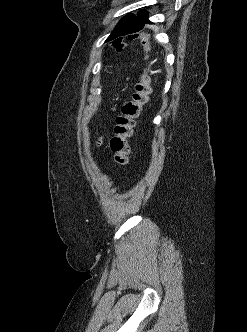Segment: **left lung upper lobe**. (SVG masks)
I'll use <instances>...</instances> for the list:
<instances>
[{
    "instance_id": "left-lung-upper-lobe-1",
    "label": "left lung upper lobe",
    "mask_w": 247,
    "mask_h": 332,
    "mask_svg": "<svg viewBox=\"0 0 247 332\" xmlns=\"http://www.w3.org/2000/svg\"><path fill=\"white\" fill-rule=\"evenodd\" d=\"M134 16V14H129L125 17H123L120 22L117 24V26L115 27L114 31L111 33V35L107 38L106 41H110V40H113L115 38L118 37V31L120 29V27L125 23L127 22L129 19H131L132 17Z\"/></svg>"
}]
</instances>
